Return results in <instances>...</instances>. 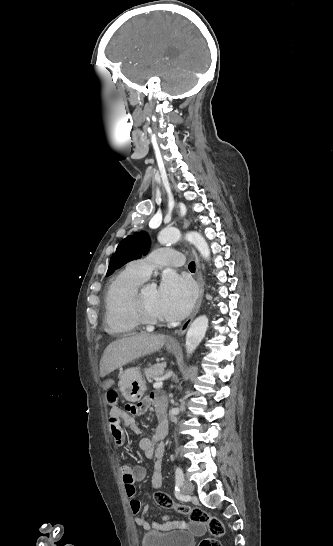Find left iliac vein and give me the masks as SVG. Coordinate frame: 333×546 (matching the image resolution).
Returning a JSON list of instances; mask_svg holds the SVG:
<instances>
[{
	"mask_svg": "<svg viewBox=\"0 0 333 546\" xmlns=\"http://www.w3.org/2000/svg\"><path fill=\"white\" fill-rule=\"evenodd\" d=\"M194 489V486L191 482L189 481H184V483L182 484V493L184 495H189L192 493Z\"/></svg>",
	"mask_w": 333,
	"mask_h": 546,
	"instance_id": "1",
	"label": "left iliac vein"
}]
</instances>
